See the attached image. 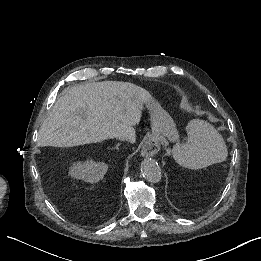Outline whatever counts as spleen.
Wrapping results in <instances>:
<instances>
[{
  "label": "spleen",
  "mask_w": 261,
  "mask_h": 261,
  "mask_svg": "<svg viewBox=\"0 0 261 261\" xmlns=\"http://www.w3.org/2000/svg\"><path fill=\"white\" fill-rule=\"evenodd\" d=\"M187 136L176 145V161L188 169H201L227 158V148L218 132L201 120H192L186 127Z\"/></svg>",
  "instance_id": "1"
}]
</instances>
